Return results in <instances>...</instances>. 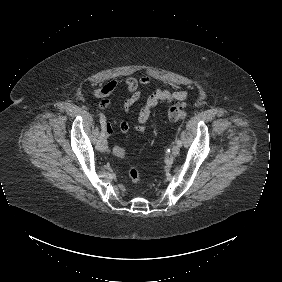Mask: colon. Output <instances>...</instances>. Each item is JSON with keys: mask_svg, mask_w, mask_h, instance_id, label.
<instances>
[{"mask_svg": "<svg viewBox=\"0 0 282 282\" xmlns=\"http://www.w3.org/2000/svg\"><path fill=\"white\" fill-rule=\"evenodd\" d=\"M166 114L171 122L176 123L184 117V110L180 107L171 106L167 109ZM112 154L118 158H125L128 156L127 150L119 146L113 147ZM129 179L134 185H137L140 182V171L136 165L130 167Z\"/></svg>", "mask_w": 282, "mask_h": 282, "instance_id": "obj_1", "label": "colon"}]
</instances>
